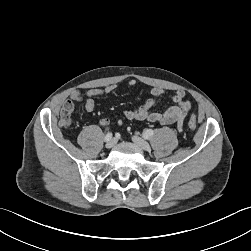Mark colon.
<instances>
[{"label": "colon", "instance_id": "obj_1", "mask_svg": "<svg viewBox=\"0 0 251 251\" xmlns=\"http://www.w3.org/2000/svg\"><path fill=\"white\" fill-rule=\"evenodd\" d=\"M73 108L71 106H63L60 114V125L63 128H68L71 125V113ZM197 126V120L194 116H190L188 120V127L195 129Z\"/></svg>", "mask_w": 251, "mask_h": 251}]
</instances>
